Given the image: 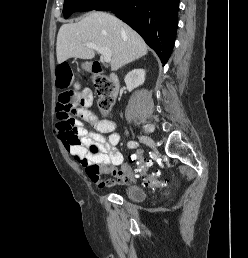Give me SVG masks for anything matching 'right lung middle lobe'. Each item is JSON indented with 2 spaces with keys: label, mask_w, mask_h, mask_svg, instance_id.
Returning a JSON list of instances; mask_svg holds the SVG:
<instances>
[{
  "label": "right lung middle lobe",
  "mask_w": 248,
  "mask_h": 258,
  "mask_svg": "<svg viewBox=\"0 0 248 258\" xmlns=\"http://www.w3.org/2000/svg\"><path fill=\"white\" fill-rule=\"evenodd\" d=\"M109 0H64L63 15L67 19L74 12L96 9Z\"/></svg>",
  "instance_id": "1"
}]
</instances>
